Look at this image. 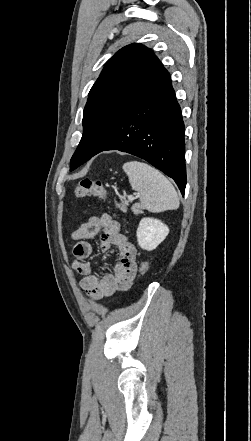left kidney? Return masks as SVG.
<instances>
[{
  "label": "left kidney",
  "mask_w": 251,
  "mask_h": 441,
  "mask_svg": "<svg viewBox=\"0 0 251 441\" xmlns=\"http://www.w3.org/2000/svg\"><path fill=\"white\" fill-rule=\"evenodd\" d=\"M168 233L169 228L160 220L143 218L136 233L138 245L144 250L152 251L165 240Z\"/></svg>",
  "instance_id": "left-kidney-1"
}]
</instances>
